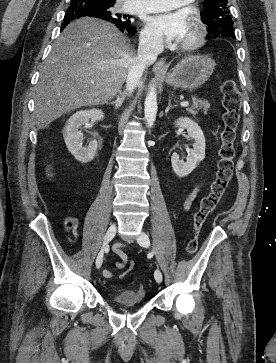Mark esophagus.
<instances>
[{
  "mask_svg": "<svg viewBox=\"0 0 276 363\" xmlns=\"http://www.w3.org/2000/svg\"><path fill=\"white\" fill-rule=\"evenodd\" d=\"M166 70V60L164 57L159 59L153 66V71L155 73H164Z\"/></svg>",
  "mask_w": 276,
  "mask_h": 363,
  "instance_id": "34e87169",
  "label": "esophagus"
}]
</instances>
